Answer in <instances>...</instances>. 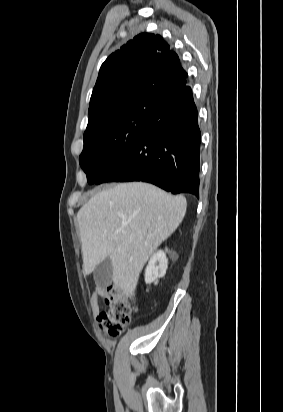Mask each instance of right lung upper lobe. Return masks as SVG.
Returning <instances> with one entry per match:
<instances>
[{"instance_id":"obj_1","label":"right lung upper lobe","mask_w":283,"mask_h":412,"mask_svg":"<svg viewBox=\"0 0 283 412\" xmlns=\"http://www.w3.org/2000/svg\"><path fill=\"white\" fill-rule=\"evenodd\" d=\"M186 77L178 56L161 36L139 34L102 64L90 100L86 131L132 105H164L186 86Z\"/></svg>"}]
</instances>
